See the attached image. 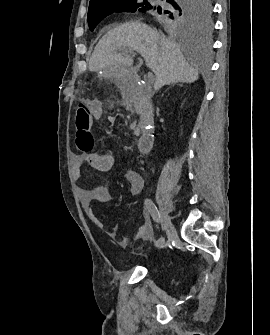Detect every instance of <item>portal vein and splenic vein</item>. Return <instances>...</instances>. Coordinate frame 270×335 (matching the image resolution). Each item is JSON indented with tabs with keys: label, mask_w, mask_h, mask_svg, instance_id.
<instances>
[{
	"label": "portal vein and splenic vein",
	"mask_w": 270,
	"mask_h": 335,
	"mask_svg": "<svg viewBox=\"0 0 270 335\" xmlns=\"http://www.w3.org/2000/svg\"><path fill=\"white\" fill-rule=\"evenodd\" d=\"M126 52H128V54H133L134 50H126ZM123 64H128V62H123ZM154 79L155 76L152 74V72H149L147 83L152 85L154 83Z\"/></svg>",
	"instance_id": "18ae733b"
}]
</instances>
